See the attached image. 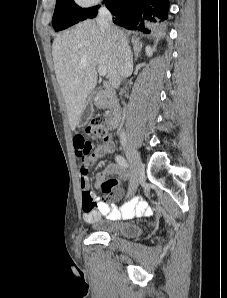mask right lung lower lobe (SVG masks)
I'll use <instances>...</instances> for the list:
<instances>
[{
	"instance_id": "1",
	"label": "right lung lower lobe",
	"mask_w": 227,
	"mask_h": 298,
	"mask_svg": "<svg viewBox=\"0 0 227 298\" xmlns=\"http://www.w3.org/2000/svg\"><path fill=\"white\" fill-rule=\"evenodd\" d=\"M105 3L115 16L113 22L130 30L149 33L151 23L167 19L168 0H106ZM96 11L88 18H94Z\"/></svg>"
}]
</instances>
